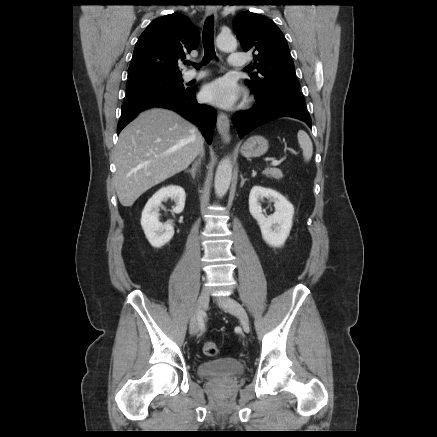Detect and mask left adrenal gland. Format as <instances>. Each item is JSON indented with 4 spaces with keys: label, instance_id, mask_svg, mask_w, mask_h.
Instances as JSON below:
<instances>
[{
    "label": "left adrenal gland",
    "instance_id": "1",
    "mask_svg": "<svg viewBox=\"0 0 437 437\" xmlns=\"http://www.w3.org/2000/svg\"><path fill=\"white\" fill-rule=\"evenodd\" d=\"M240 178H241L240 187H243V185H244V183H245V181H246L247 179L243 178L242 175H240Z\"/></svg>",
    "mask_w": 437,
    "mask_h": 437
}]
</instances>
